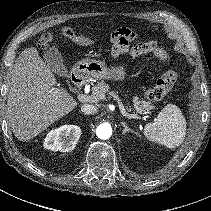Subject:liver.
Wrapping results in <instances>:
<instances>
[{"instance_id":"1","label":"liver","mask_w":211,"mask_h":211,"mask_svg":"<svg viewBox=\"0 0 211 211\" xmlns=\"http://www.w3.org/2000/svg\"><path fill=\"white\" fill-rule=\"evenodd\" d=\"M77 104L58 85L36 48L20 53L11 71L7 99L9 126L19 141L37 136Z\"/></svg>"}]
</instances>
